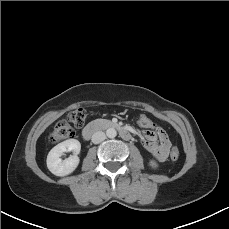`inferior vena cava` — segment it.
<instances>
[{"instance_id":"inferior-vena-cava-1","label":"inferior vena cava","mask_w":229,"mask_h":229,"mask_svg":"<svg viewBox=\"0 0 229 229\" xmlns=\"http://www.w3.org/2000/svg\"><path fill=\"white\" fill-rule=\"evenodd\" d=\"M105 138H106V135L104 132L97 131L92 135V142L94 144H98V143H101L102 141H104Z\"/></svg>"}]
</instances>
